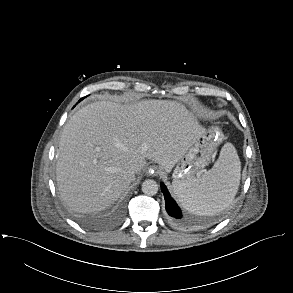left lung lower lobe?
Masks as SVG:
<instances>
[{
  "mask_svg": "<svg viewBox=\"0 0 293 293\" xmlns=\"http://www.w3.org/2000/svg\"><path fill=\"white\" fill-rule=\"evenodd\" d=\"M161 190L165 198L166 211L168 215L170 216V219L172 220V222L179 225L185 224V221L182 220L181 210L177 206L176 202L172 199L166 186L163 183H161Z\"/></svg>",
  "mask_w": 293,
  "mask_h": 293,
  "instance_id": "0a47b994",
  "label": "left lung lower lobe"
}]
</instances>
